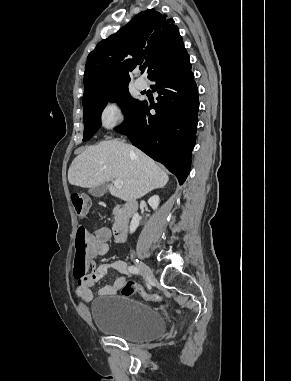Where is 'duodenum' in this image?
I'll return each mask as SVG.
<instances>
[{
	"label": "duodenum",
	"instance_id": "1",
	"mask_svg": "<svg viewBox=\"0 0 291 381\" xmlns=\"http://www.w3.org/2000/svg\"><path fill=\"white\" fill-rule=\"evenodd\" d=\"M137 204L133 200L126 201L117 210V216L113 224V234L118 242H124L126 239L129 218L136 210Z\"/></svg>",
	"mask_w": 291,
	"mask_h": 381
}]
</instances>
